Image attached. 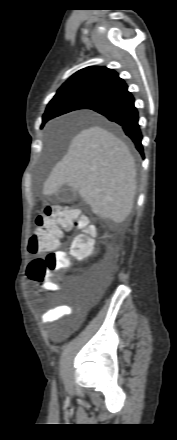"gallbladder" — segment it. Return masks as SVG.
Returning <instances> with one entry per match:
<instances>
[{
	"instance_id": "1",
	"label": "gallbladder",
	"mask_w": 177,
	"mask_h": 440,
	"mask_svg": "<svg viewBox=\"0 0 177 440\" xmlns=\"http://www.w3.org/2000/svg\"><path fill=\"white\" fill-rule=\"evenodd\" d=\"M77 192L72 188L62 187L54 196L53 202H71L77 198Z\"/></svg>"
}]
</instances>
